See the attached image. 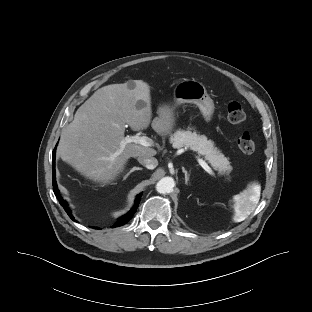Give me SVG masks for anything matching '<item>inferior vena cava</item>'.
I'll use <instances>...</instances> for the list:
<instances>
[{
  "mask_svg": "<svg viewBox=\"0 0 312 312\" xmlns=\"http://www.w3.org/2000/svg\"><path fill=\"white\" fill-rule=\"evenodd\" d=\"M138 162L145 166L147 169H154L158 165V161L154 157H144V156H139L137 158Z\"/></svg>",
  "mask_w": 312,
  "mask_h": 312,
  "instance_id": "inferior-vena-cava-1",
  "label": "inferior vena cava"
}]
</instances>
